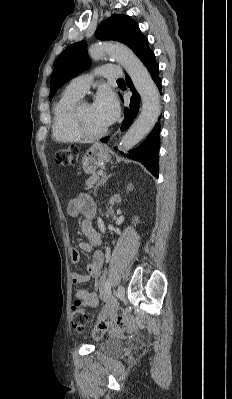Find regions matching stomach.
<instances>
[{
    "label": "stomach",
    "mask_w": 232,
    "mask_h": 399,
    "mask_svg": "<svg viewBox=\"0 0 232 399\" xmlns=\"http://www.w3.org/2000/svg\"><path fill=\"white\" fill-rule=\"evenodd\" d=\"M110 156L106 146L95 142L82 158V168L85 174H93L103 162H109Z\"/></svg>",
    "instance_id": "stomach-1"
}]
</instances>
